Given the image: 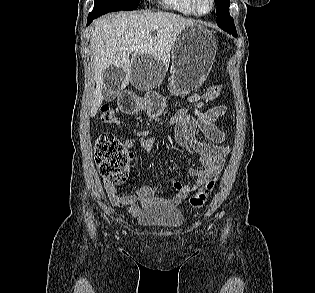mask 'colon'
Here are the masks:
<instances>
[{
    "mask_svg": "<svg viewBox=\"0 0 315 293\" xmlns=\"http://www.w3.org/2000/svg\"><path fill=\"white\" fill-rule=\"evenodd\" d=\"M219 83V80H216ZM223 89L221 86L215 85L209 87L203 97H210L221 94ZM185 114L180 111L174 117ZM100 118L105 123L115 124L118 119L112 107L104 105L100 110ZM133 154L129 151L126 141L112 135L102 134L95 140V160L99 167L101 176L105 183L112 185H120L127 181L129 177V167ZM217 177L210 178L188 199V203L192 208H201L207 201L209 195L217 184Z\"/></svg>",
    "mask_w": 315,
    "mask_h": 293,
    "instance_id": "obj_1",
    "label": "colon"
}]
</instances>
